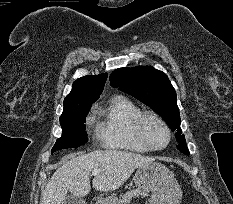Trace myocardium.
<instances>
[{
  "mask_svg": "<svg viewBox=\"0 0 233 204\" xmlns=\"http://www.w3.org/2000/svg\"><path fill=\"white\" fill-rule=\"evenodd\" d=\"M148 119H154L156 120L158 123H160L163 128L165 129L166 133H167V142L165 143V145L157 147V146H153L147 139L145 132H144V125L145 122ZM133 130L135 133V136L137 138V140L145 147L147 148L149 151H160L165 149L171 142V137H172V133H171V129L168 126V124L165 122V120L160 117L158 114L151 112V111H145L142 112L134 121L133 123Z\"/></svg>",
  "mask_w": 233,
  "mask_h": 204,
  "instance_id": "f54148a6",
  "label": "myocardium"
}]
</instances>
